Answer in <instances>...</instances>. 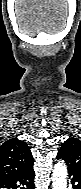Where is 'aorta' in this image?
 <instances>
[{"label": "aorta", "mask_w": 81, "mask_h": 189, "mask_svg": "<svg viewBox=\"0 0 81 189\" xmlns=\"http://www.w3.org/2000/svg\"><path fill=\"white\" fill-rule=\"evenodd\" d=\"M52 189H67V166L63 161H58L53 169Z\"/></svg>", "instance_id": "aorta-1"}]
</instances>
